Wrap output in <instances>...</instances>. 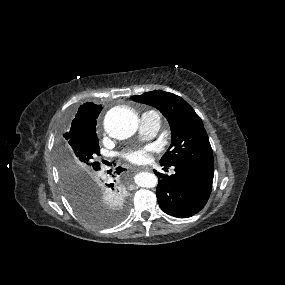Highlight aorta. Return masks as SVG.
<instances>
[{
	"instance_id": "762f6f07",
	"label": "aorta",
	"mask_w": 285,
	"mask_h": 285,
	"mask_svg": "<svg viewBox=\"0 0 285 285\" xmlns=\"http://www.w3.org/2000/svg\"><path fill=\"white\" fill-rule=\"evenodd\" d=\"M138 127L136 114L128 107H114L110 109L104 119V128L113 138L126 139L132 136ZM135 183L139 187L154 188L158 178L154 173L140 172L136 174Z\"/></svg>"
}]
</instances>
